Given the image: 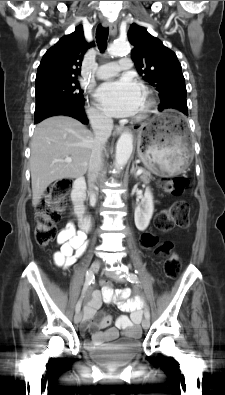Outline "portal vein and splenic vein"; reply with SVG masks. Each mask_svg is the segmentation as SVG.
Here are the masks:
<instances>
[{"instance_id": "18ae733b", "label": "portal vein and splenic vein", "mask_w": 225, "mask_h": 395, "mask_svg": "<svg viewBox=\"0 0 225 395\" xmlns=\"http://www.w3.org/2000/svg\"><path fill=\"white\" fill-rule=\"evenodd\" d=\"M64 161H65V162H72V158H71V157H67V158H65ZM142 172H143V169L140 168V169H138L137 174L139 175V174H141Z\"/></svg>"}]
</instances>
